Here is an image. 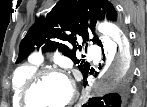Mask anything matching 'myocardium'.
Masks as SVG:
<instances>
[{
  "instance_id": "1",
  "label": "myocardium",
  "mask_w": 147,
  "mask_h": 107,
  "mask_svg": "<svg viewBox=\"0 0 147 107\" xmlns=\"http://www.w3.org/2000/svg\"><path fill=\"white\" fill-rule=\"evenodd\" d=\"M49 76H60L66 79L70 84V96L67 101L59 107H68L73 104L77 95L74 81L62 69L58 67H45L36 71L26 83L21 95V101L24 107H34L30 101L31 92L41 81Z\"/></svg>"
}]
</instances>
